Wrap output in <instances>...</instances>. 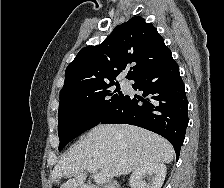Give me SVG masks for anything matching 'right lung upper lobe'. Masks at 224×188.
<instances>
[{"label":"right lung upper lobe","mask_w":224,"mask_h":188,"mask_svg":"<svg viewBox=\"0 0 224 188\" xmlns=\"http://www.w3.org/2000/svg\"><path fill=\"white\" fill-rule=\"evenodd\" d=\"M171 51L157 29L140 16L118 25L99 45L84 47L65 71L61 92L115 82L129 68L132 80Z\"/></svg>","instance_id":"1"}]
</instances>
